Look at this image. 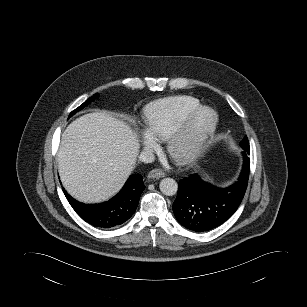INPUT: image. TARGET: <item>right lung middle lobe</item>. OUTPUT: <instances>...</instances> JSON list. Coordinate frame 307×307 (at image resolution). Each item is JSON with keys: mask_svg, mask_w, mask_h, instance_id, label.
I'll list each match as a JSON object with an SVG mask.
<instances>
[{"mask_svg": "<svg viewBox=\"0 0 307 307\" xmlns=\"http://www.w3.org/2000/svg\"><path fill=\"white\" fill-rule=\"evenodd\" d=\"M98 94H94L91 98H89L87 101H85L82 105H80L77 109H75L69 117H71L75 112L79 111L81 108H83L85 105L89 104L92 100H94L97 97Z\"/></svg>", "mask_w": 307, "mask_h": 307, "instance_id": "obj_1", "label": "right lung middle lobe"}]
</instances>
